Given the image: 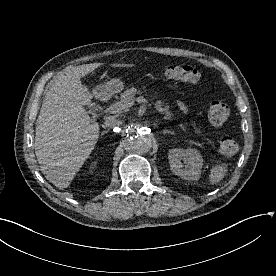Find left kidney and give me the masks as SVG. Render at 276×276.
I'll use <instances>...</instances> for the list:
<instances>
[{
    "label": "left kidney",
    "mask_w": 276,
    "mask_h": 276,
    "mask_svg": "<svg viewBox=\"0 0 276 276\" xmlns=\"http://www.w3.org/2000/svg\"><path fill=\"white\" fill-rule=\"evenodd\" d=\"M168 159L172 172L180 178L185 180H198L200 178L203 158L198 150L193 148L171 149L168 153Z\"/></svg>",
    "instance_id": "1"
}]
</instances>
